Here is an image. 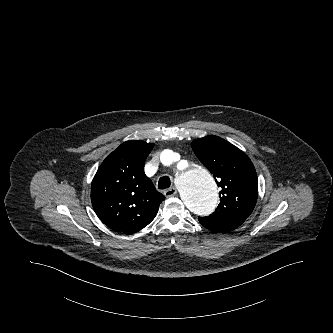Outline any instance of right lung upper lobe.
<instances>
[{
  "instance_id": "obj_1",
  "label": "right lung upper lobe",
  "mask_w": 333,
  "mask_h": 333,
  "mask_svg": "<svg viewBox=\"0 0 333 333\" xmlns=\"http://www.w3.org/2000/svg\"><path fill=\"white\" fill-rule=\"evenodd\" d=\"M153 147L140 140L124 142L106 157L93 178V209L115 231L141 230L154 219L165 198L144 173Z\"/></svg>"
}]
</instances>
